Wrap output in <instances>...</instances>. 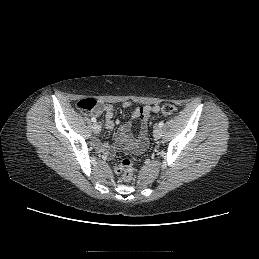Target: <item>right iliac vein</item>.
Segmentation results:
<instances>
[{"mask_svg": "<svg viewBox=\"0 0 259 259\" xmlns=\"http://www.w3.org/2000/svg\"><path fill=\"white\" fill-rule=\"evenodd\" d=\"M92 129L95 134H98L101 130V126L98 123H95V124H93Z\"/></svg>", "mask_w": 259, "mask_h": 259, "instance_id": "63e3f726", "label": "right iliac vein"}]
</instances>
